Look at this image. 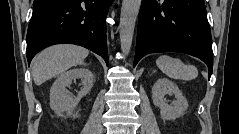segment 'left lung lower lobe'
I'll return each mask as SVG.
<instances>
[{"label": "left lung lower lobe", "mask_w": 239, "mask_h": 134, "mask_svg": "<svg viewBox=\"0 0 239 134\" xmlns=\"http://www.w3.org/2000/svg\"><path fill=\"white\" fill-rule=\"evenodd\" d=\"M182 52L213 68L210 27L203 0H143L134 66L149 53Z\"/></svg>", "instance_id": "0a47b994"}]
</instances>
